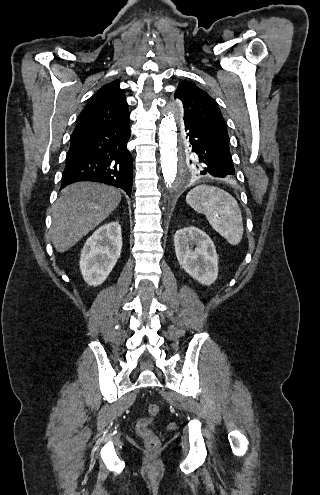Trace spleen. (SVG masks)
<instances>
[{
	"instance_id": "spleen-1",
	"label": "spleen",
	"mask_w": 320,
	"mask_h": 495,
	"mask_svg": "<svg viewBox=\"0 0 320 495\" xmlns=\"http://www.w3.org/2000/svg\"><path fill=\"white\" fill-rule=\"evenodd\" d=\"M186 202L203 213L212 228L231 245L241 242L244 228L241 210L236 199L215 186L199 185L186 196Z\"/></svg>"
}]
</instances>
